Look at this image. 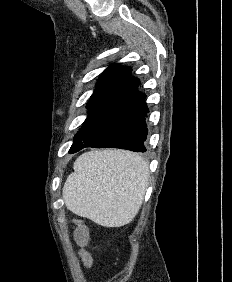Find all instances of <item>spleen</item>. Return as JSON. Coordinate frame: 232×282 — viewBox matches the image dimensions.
<instances>
[{"instance_id":"spleen-1","label":"spleen","mask_w":232,"mask_h":282,"mask_svg":"<svg viewBox=\"0 0 232 282\" xmlns=\"http://www.w3.org/2000/svg\"><path fill=\"white\" fill-rule=\"evenodd\" d=\"M63 187L67 209L105 227L130 223L138 213L148 183V164L120 150L79 156Z\"/></svg>"}]
</instances>
